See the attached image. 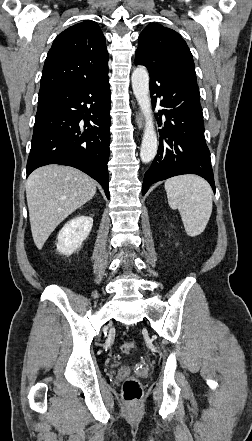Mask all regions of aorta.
<instances>
[{
  "instance_id": "aorta-1",
  "label": "aorta",
  "mask_w": 252,
  "mask_h": 441,
  "mask_svg": "<svg viewBox=\"0 0 252 441\" xmlns=\"http://www.w3.org/2000/svg\"><path fill=\"white\" fill-rule=\"evenodd\" d=\"M132 88L135 98L145 118V128L140 149L143 163H149L157 153V135L152 117L151 99L149 96V74L145 67H137L132 73Z\"/></svg>"
}]
</instances>
